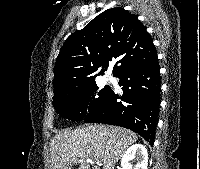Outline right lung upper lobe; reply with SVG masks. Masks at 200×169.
<instances>
[{"label": "right lung upper lobe", "instance_id": "right-lung-upper-lobe-1", "mask_svg": "<svg viewBox=\"0 0 200 169\" xmlns=\"http://www.w3.org/2000/svg\"><path fill=\"white\" fill-rule=\"evenodd\" d=\"M156 57L153 40L137 16L123 8L108 9L66 39L56 59L53 99L95 80L112 60H116L113 75L117 77Z\"/></svg>", "mask_w": 200, "mask_h": 169}]
</instances>
